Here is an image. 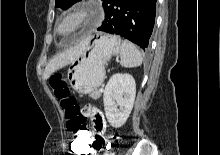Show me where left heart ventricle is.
Masks as SVG:
<instances>
[{
    "label": "left heart ventricle",
    "mask_w": 220,
    "mask_h": 155,
    "mask_svg": "<svg viewBox=\"0 0 220 155\" xmlns=\"http://www.w3.org/2000/svg\"><path fill=\"white\" fill-rule=\"evenodd\" d=\"M75 23L72 20L63 21L59 25V31L68 33L74 28Z\"/></svg>",
    "instance_id": "b2bd125f"
}]
</instances>
